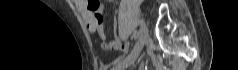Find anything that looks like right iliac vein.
Here are the masks:
<instances>
[{
	"mask_svg": "<svg viewBox=\"0 0 238 70\" xmlns=\"http://www.w3.org/2000/svg\"><path fill=\"white\" fill-rule=\"evenodd\" d=\"M148 38V32H147V27L144 23L141 24L140 28V34H139V39L138 42L131 52V54L126 57L125 59L121 60L114 68L113 70H124L128 68L130 65L134 63V61L138 58L139 54L141 53L143 46L145 42L147 41Z\"/></svg>",
	"mask_w": 238,
	"mask_h": 70,
	"instance_id": "1",
	"label": "right iliac vein"
}]
</instances>
